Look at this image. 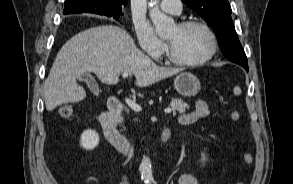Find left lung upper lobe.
<instances>
[{
  "instance_id": "obj_1",
  "label": "left lung upper lobe",
  "mask_w": 293,
  "mask_h": 184,
  "mask_svg": "<svg viewBox=\"0 0 293 184\" xmlns=\"http://www.w3.org/2000/svg\"><path fill=\"white\" fill-rule=\"evenodd\" d=\"M207 21L214 29L219 46L227 59L232 62L246 60L231 19V6L228 0H182Z\"/></svg>"
}]
</instances>
